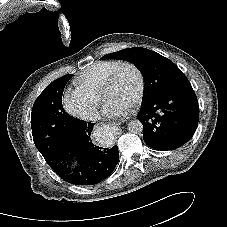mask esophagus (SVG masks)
<instances>
[{"mask_svg":"<svg viewBox=\"0 0 227 227\" xmlns=\"http://www.w3.org/2000/svg\"><path fill=\"white\" fill-rule=\"evenodd\" d=\"M111 128L118 130V126H116L115 124H110Z\"/></svg>","mask_w":227,"mask_h":227,"instance_id":"esophagus-1","label":"esophagus"}]
</instances>
